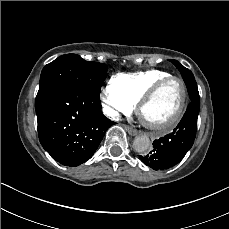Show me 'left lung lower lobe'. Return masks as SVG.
Instances as JSON below:
<instances>
[{
  "instance_id": "left-lung-lower-lobe-1",
  "label": "left lung lower lobe",
  "mask_w": 229,
  "mask_h": 229,
  "mask_svg": "<svg viewBox=\"0 0 229 229\" xmlns=\"http://www.w3.org/2000/svg\"><path fill=\"white\" fill-rule=\"evenodd\" d=\"M183 79L190 97L184 116L170 134L153 142V150L149 155L140 156L142 162L154 170L169 169L177 165L192 147L196 137L199 92L193 75Z\"/></svg>"
}]
</instances>
